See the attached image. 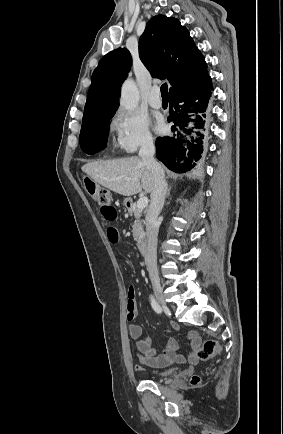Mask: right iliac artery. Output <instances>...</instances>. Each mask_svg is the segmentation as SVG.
<instances>
[{
	"instance_id": "82829eb1",
	"label": "right iliac artery",
	"mask_w": 283,
	"mask_h": 434,
	"mask_svg": "<svg viewBox=\"0 0 283 434\" xmlns=\"http://www.w3.org/2000/svg\"><path fill=\"white\" fill-rule=\"evenodd\" d=\"M151 306H152V308H153V310L155 312H157V313H161L162 312V307L156 301V299L154 298V296H151Z\"/></svg>"
}]
</instances>
